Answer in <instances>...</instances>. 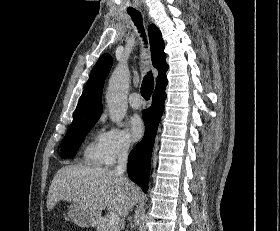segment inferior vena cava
Segmentation results:
<instances>
[{
  "label": "inferior vena cava",
  "instance_id": "obj_1",
  "mask_svg": "<svg viewBox=\"0 0 280 231\" xmlns=\"http://www.w3.org/2000/svg\"><path fill=\"white\" fill-rule=\"evenodd\" d=\"M128 147V143L123 141V143H120L118 149V159L115 171L118 173V175H121V177L124 175V171H126L127 167ZM125 179H127V177H125ZM127 181H129V179H127Z\"/></svg>",
  "mask_w": 280,
  "mask_h": 231
}]
</instances>
